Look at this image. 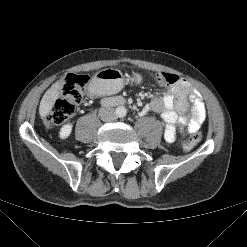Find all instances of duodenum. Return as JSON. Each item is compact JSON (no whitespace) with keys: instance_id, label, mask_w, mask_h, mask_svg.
I'll use <instances>...</instances> for the list:
<instances>
[{"instance_id":"410a0bca","label":"duodenum","mask_w":247,"mask_h":247,"mask_svg":"<svg viewBox=\"0 0 247 247\" xmlns=\"http://www.w3.org/2000/svg\"><path fill=\"white\" fill-rule=\"evenodd\" d=\"M124 102V98L120 96L107 97L102 100L103 105L107 107L121 106Z\"/></svg>"}]
</instances>
